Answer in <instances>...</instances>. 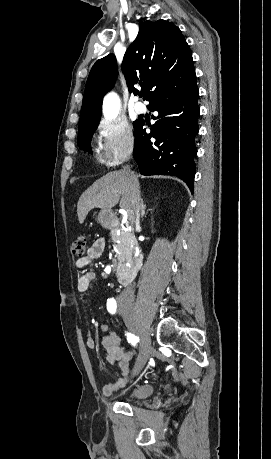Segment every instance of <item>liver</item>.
<instances>
[{
	"label": "liver",
	"instance_id": "1",
	"mask_svg": "<svg viewBox=\"0 0 271 459\" xmlns=\"http://www.w3.org/2000/svg\"><path fill=\"white\" fill-rule=\"evenodd\" d=\"M137 176L131 172H109L100 180H96L88 190L83 192L77 204V216L79 224H83L88 212L93 208L111 210L120 200L122 210H132L134 184Z\"/></svg>",
	"mask_w": 271,
	"mask_h": 459
}]
</instances>
